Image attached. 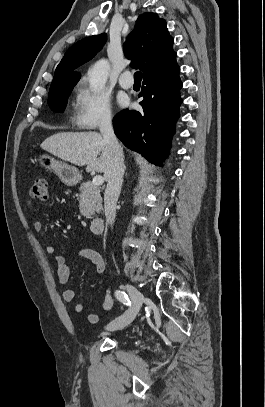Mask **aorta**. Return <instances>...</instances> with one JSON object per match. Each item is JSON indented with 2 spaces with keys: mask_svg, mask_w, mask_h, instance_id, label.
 I'll return each mask as SVG.
<instances>
[{
  "mask_svg": "<svg viewBox=\"0 0 265 407\" xmlns=\"http://www.w3.org/2000/svg\"><path fill=\"white\" fill-rule=\"evenodd\" d=\"M110 69V64L106 59L97 61L88 71V79L93 91L102 89L105 85Z\"/></svg>",
  "mask_w": 265,
  "mask_h": 407,
  "instance_id": "1",
  "label": "aorta"
}]
</instances>
